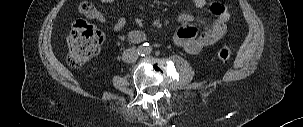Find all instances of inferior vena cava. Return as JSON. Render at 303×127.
<instances>
[{"instance_id": "602c4592", "label": "inferior vena cava", "mask_w": 303, "mask_h": 127, "mask_svg": "<svg viewBox=\"0 0 303 127\" xmlns=\"http://www.w3.org/2000/svg\"><path fill=\"white\" fill-rule=\"evenodd\" d=\"M138 51L134 48L126 49L122 54V60L126 63H133L138 58Z\"/></svg>"}]
</instances>
